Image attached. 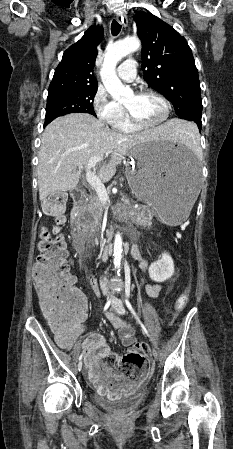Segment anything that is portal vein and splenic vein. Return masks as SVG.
I'll return each instance as SVG.
<instances>
[{"instance_id":"1","label":"portal vein and splenic vein","mask_w":233,"mask_h":449,"mask_svg":"<svg viewBox=\"0 0 233 449\" xmlns=\"http://www.w3.org/2000/svg\"><path fill=\"white\" fill-rule=\"evenodd\" d=\"M102 160L103 157L101 156H95L89 159L86 164V180L89 185L94 188L100 201L104 204H107L110 202L107 190L101 180L91 171V168Z\"/></svg>"}]
</instances>
